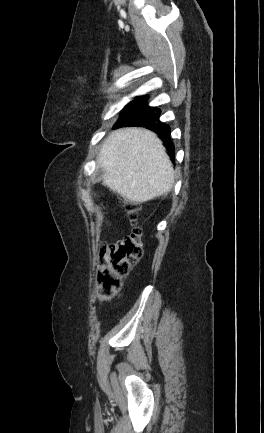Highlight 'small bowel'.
<instances>
[{
  "label": "small bowel",
  "mask_w": 264,
  "mask_h": 433,
  "mask_svg": "<svg viewBox=\"0 0 264 433\" xmlns=\"http://www.w3.org/2000/svg\"><path fill=\"white\" fill-rule=\"evenodd\" d=\"M98 299H99V300H102V298H101L100 296L98 297Z\"/></svg>",
  "instance_id": "small-bowel-1"
}]
</instances>
